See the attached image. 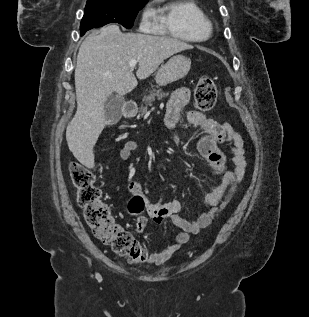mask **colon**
<instances>
[{"label":"colon","instance_id":"1","mask_svg":"<svg viewBox=\"0 0 309 317\" xmlns=\"http://www.w3.org/2000/svg\"><path fill=\"white\" fill-rule=\"evenodd\" d=\"M217 100V89L210 77L201 78L194 91V102L201 111L211 110ZM70 176L77 188V201L83 209L84 217L94 235L109 245L117 254L130 263H141L146 259V251L140 242L124 230L110 213L107 204L102 200L101 190L95 184L93 172L78 162L70 164ZM143 201L135 197L130 209L139 213Z\"/></svg>","mask_w":309,"mask_h":317}]
</instances>
